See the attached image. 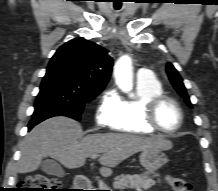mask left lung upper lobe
Wrapping results in <instances>:
<instances>
[{
  "instance_id": "5c2ea615",
  "label": "left lung upper lobe",
  "mask_w": 218,
  "mask_h": 191,
  "mask_svg": "<svg viewBox=\"0 0 218 191\" xmlns=\"http://www.w3.org/2000/svg\"><path fill=\"white\" fill-rule=\"evenodd\" d=\"M166 71L176 91L185 99V102L188 104V106L192 107L190 99L186 93V88L182 82L183 80L181 76L178 74L175 67L171 63H168L166 66Z\"/></svg>"
}]
</instances>
